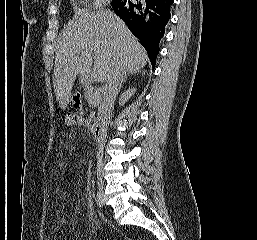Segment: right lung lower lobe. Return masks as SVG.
Wrapping results in <instances>:
<instances>
[{"label": "right lung lower lobe", "mask_w": 257, "mask_h": 240, "mask_svg": "<svg viewBox=\"0 0 257 240\" xmlns=\"http://www.w3.org/2000/svg\"><path fill=\"white\" fill-rule=\"evenodd\" d=\"M174 0H113L114 12L146 49L153 68Z\"/></svg>", "instance_id": "1"}]
</instances>
